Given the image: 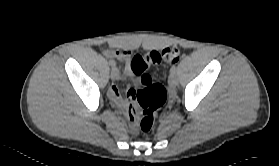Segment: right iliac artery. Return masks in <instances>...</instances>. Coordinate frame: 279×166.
Instances as JSON below:
<instances>
[{"instance_id": "82829eb1", "label": "right iliac artery", "mask_w": 279, "mask_h": 166, "mask_svg": "<svg viewBox=\"0 0 279 166\" xmlns=\"http://www.w3.org/2000/svg\"><path fill=\"white\" fill-rule=\"evenodd\" d=\"M109 65H110L111 67H115V66H116V63H115L114 60H109Z\"/></svg>"}]
</instances>
